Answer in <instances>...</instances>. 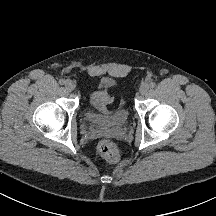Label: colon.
<instances>
[{
  "label": "colon",
  "instance_id": "1",
  "mask_svg": "<svg viewBox=\"0 0 216 216\" xmlns=\"http://www.w3.org/2000/svg\"><path fill=\"white\" fill-rule=\"evenodd\" d=\"M98 152L102 157L109 161H116L118 158V150L116 145L108 139H103L98 143Z\"/></svg>",
  "mask_w": 216,
  "mask_h": 216
}]
</instances>
